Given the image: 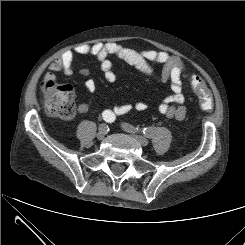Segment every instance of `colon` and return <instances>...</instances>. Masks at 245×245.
<instances>
[{"instance_id": "5ec220e1", "label": "colon", "mask_w": 245, "mask_h": 245, "mask_svg": "<svg viewBox=\"0 0 245 245\" xmlns=\"http://www.w3.org/2000/svg\"><path fill=\"white\" fill-rule=\"evenodd\" d=\"M190 85L200 101L201 108L211 110L212 95L204 80L197 74H190ZM44 94V108L52 116L65 120L71 119L76 112L73 88L68 84H58L54 81H45L42 85Z\"/></svg>"}]
</instances>
